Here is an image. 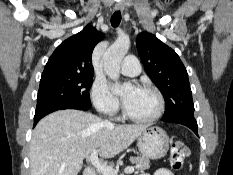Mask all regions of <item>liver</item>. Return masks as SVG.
Returning a JSON list of instances; mask_svg holds the SVG:
<instances>
[{"instance_id": "liver-1", "label": "liver", "mask_w": 233, "mask_h": 175, "mask_svg": "<svg viewBox=\"0 0 233 175\" xmlns=\"http://www.w3.org/2000/svg\"><path fill=\"white\" fill-rule=\"evenodd\" d=\"M146 125H114L83 111L60 110L44 117L30 144L31 175H77L93 150L112 158L128 148Z\"/></svg>"}]
</instances>
